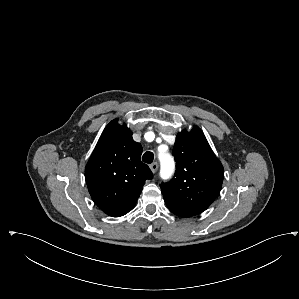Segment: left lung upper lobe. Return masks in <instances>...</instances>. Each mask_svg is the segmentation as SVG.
<instances>
[{
	"mask_svg": "<svg viewBox=\"0 0 299 299\" xmlns=\"http://www.w3.org/2000/svg\"><path fill=\"white\" fill-rule=\"evenodd\" d=\"M173 155L175 177L160 185L165 202L191 215L205 211L221 190L224 170L202 130L178 133Z\"/></svg>",
	"mask_w": 299,
	"mask_h": 299,
	"instance_id": "left-lung-upper-lobe-1",
	"label": "left lung upper lobe"
}]
</instances>
